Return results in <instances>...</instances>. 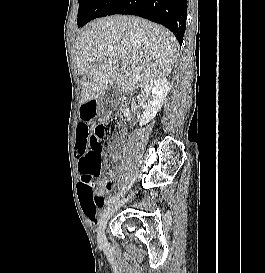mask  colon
I'll return each instance as SVG.
<instances>
[{
  "label": "colon",
  "instance_id": "1",
  "mask_svg": "<svg viewBox=\"0 0 265 273\" xmlns=\"http://www.w3.org/2000/svg\"><path fill=\"white\" fill-rule=\"evenodd\" d=\"M85 124V123H80ZM121 126L120 118L111 117L107 122L100 123L95 129H77L76 153L81 157L80 193H94L96 184L92 178L101 168L102 143L111 141L118 133Z\"/></svg>",
  "mask_w": 265,
  "mask_h": 273
}]
</instances>
